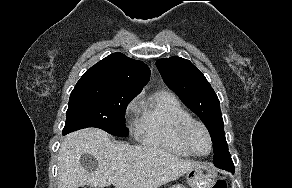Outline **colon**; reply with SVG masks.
I'll return each instance as SVG.
<instances>
[{
  "mask_svg": "<svg viewBox=\"0 0 292 188\" xmlns=\"http://www.w3.org/2000/svg\"><path fill=\"white\" fill-rule=\"evenodd\" d=\"M82 188H83V187H82ZM213 188H227V181H226V179H225V178H220V179H218V180L215 182Z\"/></svg>",
  "mask_w": 292,
  "mask_h": 188,
  "instance_id": "colon-1",
  "label": "colon"
}]
</instances>
